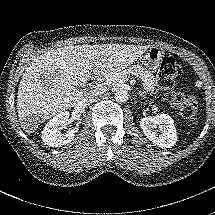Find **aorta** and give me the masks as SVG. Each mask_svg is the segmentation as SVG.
<instances>
[{
    "label": "aorta",
    "instance_id": "1",
    "mask_svg": "<svg viewBox=\"0 0 215 215\" xmlns=\"http://www.w3.org/2000/svg\"><path fill=\"white\" fill-rule=\"evenodd\" d=\"M114 99L119 103L125 102L129 99V94L127 90H124V89L118 90L114 94Z\"/></svg>",
    "mask_w": 215,
    "mask_h": 215
}]
</instances>
